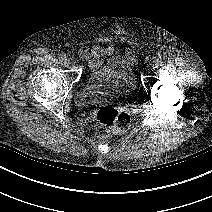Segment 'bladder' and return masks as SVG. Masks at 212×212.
I'll list each match as a JSON object with an SVG mask.
<instances>
[{
    "label": "bladder",
    "instance_id": "1",
    "mask_svg": "<svg viewBox=\"0 0 212 212\" xmlns=\"http://www.w3.org/2000/svg\"><path fill=\"white\" fill-rule=\"evenodd\" d=\"M136 81L132 66L121 59H112L93 69L76 96L81 107L125 103L134 99Z\"/></svg>",
    "mask_w": 212,
    "mask_h": 212
}]
</instances>
